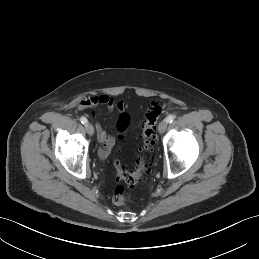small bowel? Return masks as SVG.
Segmentation results:
<instances>
[{"label": "small bowel", "mask_w": 259, "mask_h": 259, "mask_svg": "<svg viewBox=\"0 0 259 259\" xmlns=\"http://www.w3.org/2000/svg\"><path fill=\"white\" fill-rule=\"evenodd\" d=\"M98 105H103L107 108L109 112L116 109L119 113H122L125 108L124 101L122 100H115L113 97L108 95H96L92 96L84 101L81 102V106L83 108H94ZM96 133L98 140L103 143L102 148L100 149L99 155L101 158H106L111 150L113 149V146L115 144V139L112 135H109L106 131V129L103 127V125L100 122H96Z\"/></svg>", "instance_id": "c3829d8e"}]
</instances>
